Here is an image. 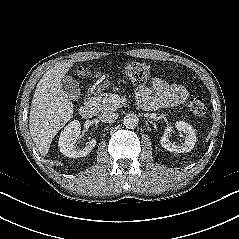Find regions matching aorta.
Listing matches in <instances>:
<instances>
[{"label": "aorta", "mask_w": 239, "mask_h": 239, "mask_svg": "<svg viewBox=\"0 0 239 239\" xmlns=\"http://www.w3.org/2000/svg\"><path fill=\"white\" fill-rule=\"evenodd\" d=\"M123 123H124L126 128L133 129L138 125L139 119H138L136 114L128 113L124 116Z\"/></svg>", "instance_id": "obj_1"}]
</instances>
